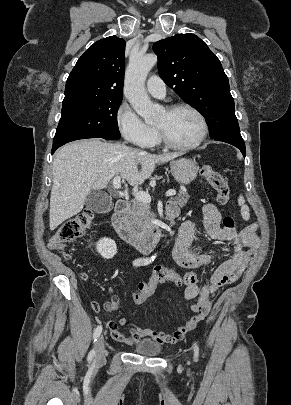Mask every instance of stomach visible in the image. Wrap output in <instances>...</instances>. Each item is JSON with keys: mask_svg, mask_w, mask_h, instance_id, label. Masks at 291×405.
Returning a JSON list of instances; mask_svg holds the SVG:
<instances>
[{"mask_svg": "<svg viewBox=\"0 0 291 405\" xmlns=\"http://www.w3.org/2000/svg\"><path fill=\"white\" fill-rule=\"evenodd\" d=\"M171 173L175 180L182 184H190L197 176V164L187 158H180L170 163Z\"/></svg>", "mask_w": 291, "mask_h": 405, "instance_id": "obj_1", "label": "stomach"}]
</instances>
